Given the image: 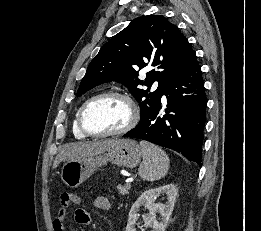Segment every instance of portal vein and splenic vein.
<instances>
[{
    "label": "portal vein and splenic vein",
    "mask_w": 261,
    "mask_h": 231,
    "mask_svg": "<svg viewBox=\"0 0 261 231\" xmlns=\"http://www.w3.org/2000/svg\"><path fill=\"white\" fill-rule=\"evenodd\" d=\"M131 182H132V180H130V179L126 180V185H130Z\"/></svg>",
    "instance_id": "1"
}]
</instances>
